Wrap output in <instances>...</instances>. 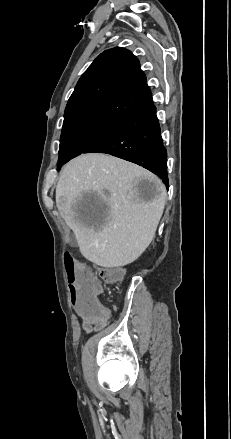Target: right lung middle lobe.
<instances>
[{
  "instance_id": "1",
  "label": "right lung middle lobe",
  "mask_w": 231,
  "mask_h": 439,
  "mask_svg": "<svg viewBox=\"0 0 231 439\" xmlns=\"http://www.w3.org/2000/svg\"><path fill=\"white\" fill-rule=\"evenodd\" d=\"M123 118L104 113H86L64 118L57 170L84 153Z\"/></svg>"
}]
</instances>
